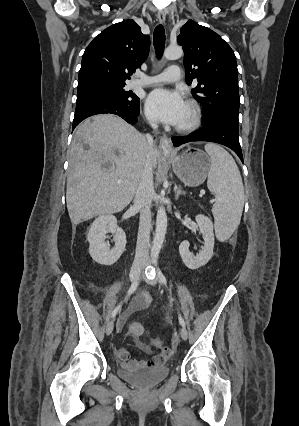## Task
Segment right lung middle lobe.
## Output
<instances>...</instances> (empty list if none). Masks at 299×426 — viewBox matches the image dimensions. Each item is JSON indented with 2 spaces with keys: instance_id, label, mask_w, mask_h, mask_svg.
<instances>
[{
  "instance_id": "1",
  "label": "right lung middle lobe",
  "mask_w": 299,
  "mask_h": 426,
  "mask_svg": "<svg viewBox=\"0 0 299 426\" xmlns=\"http://www.w3.org/2000/svg\"><path fill=\"white\" fill-rule=\"evenodd\" d=\"M125 84L98 83L78 86L77 95L83 93H98L111 96L124 103L133 105L139 102V98L131 91H125Z\"/></svg>"
}]
</instances>
